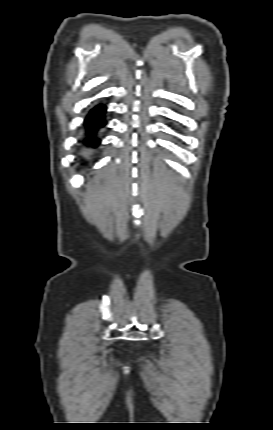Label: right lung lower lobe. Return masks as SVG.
<instances>
[{"mask_svg": "<svg viewBox=\"0 0 273 430\" xmlns=\"http://www.w3.org/2000/svg\"><path fill=\"white\" fill-rule=\"evenodd\" d=\"M105 113L106 106L98 104L86 116L79 140L81 146L80 156L90 155L100 145V132L106 125Z\"/></svg>", "mask_w": 273, "mask_h": 430, "instance_id": "1", "label": "right lung lower lobe"}]
</instances>
